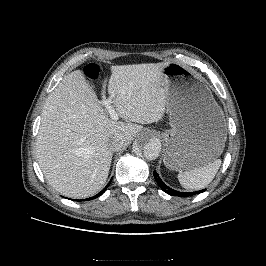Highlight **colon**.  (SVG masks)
<instances>
[{"label": "colon", "mask_w": 266, "mask_h": 266, "mask_svg": "<svg viewBox=\"0 0 266 266\" xmlns=\"http://www.w3.org/2000/svg\"><path fill=\"white\" fill-rule=\"evenodd\" d=\"M84 73L90 80H95L99 76V69L96 65L90 64L85 68Z\"/></svg>", "instance_id": "1"}]
</instances>
